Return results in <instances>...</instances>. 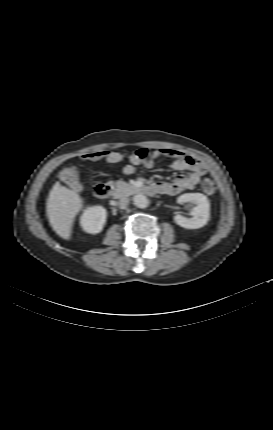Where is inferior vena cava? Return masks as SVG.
I'll return each instance as SVG.
<instances>
[{"label":"inferior vena cava","mask_w":273,"mask_h":430,"mask_svg":"<svg viewBox=\"0 0 273 430\" xmlns=\"http://www.w3.org/2000/svg\"><path fill=\"white\" fill-rule=\"evenodd\" d=\"M129 204V200L126 197H122L120 198V200L118 201V206L121 209H125L127 207V205Z\"/></svg>","instance_id":"1"}]
</instances>
